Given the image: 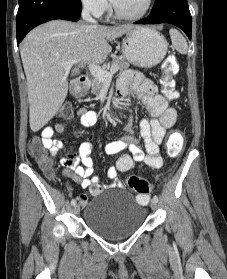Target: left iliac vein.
<instances>
[{"instance_id": "1", "label": "left iliac vein", "mask_w": 227, "mask_h": 279, "mask_svg": "<svg viewBox=\"0 0 227 279\" xmlns=\"http://www.w3.org/2000/svg\"><path fill=\"white\" fill-rule=\"evenodd\" d=\"M150 206H151L152 209H157V207H158L157 201L151 200Z\"/></svg>"}]
</instances>
